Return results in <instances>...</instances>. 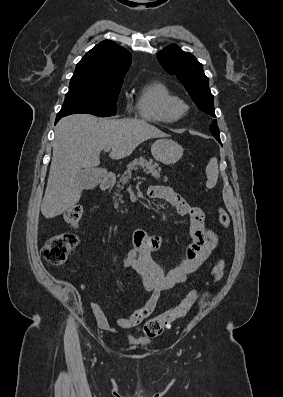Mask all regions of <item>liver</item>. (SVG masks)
<instances>
[{
    "instance_id": "obj_1",
    "label": "liver",
    "mask_w": 283,
    "mask_h": 397,
    "mask_svg": "<svg viewBox=\"0 0 283 397\" xmlns=\"http://www.w3.org/2000/svg\"><path fill=\"white\" fill-rule=\"evenodd\" d=\"M167 134L140 119H98L89 114L62 118L55 128L53 156L41 205L47 219L61 215L80 200V171L95 169L100 153L110 146V158L122 159L142 142Z\"/></svg>"
}]
</instances>
